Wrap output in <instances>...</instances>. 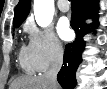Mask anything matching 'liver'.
I'll use <instances>...</instances> for the list:
<instances>
[{"instance_id": "liver-1", "label": "liver", "mask_w": 107, "mask_h": 89, "mask_svg": "<svg viewBox=\"0 0 107 89\" xmlns=\"http://www.w3.org/2000/svg\"><path fill=\"white\" fill-rule=\"evenodd\" d=\"M9 89H58L52 86L44 75L41 76H21L16 78Z\"/></svg>"}]
</instances>
